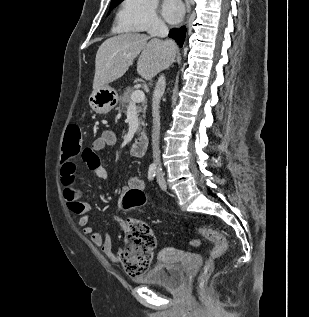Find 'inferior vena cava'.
<instances>
[{"label": "inferior vena cava", "mask_w": 309, "mask_h": 317, "mask_svg": "<svg viewBox=\"0 0 309 317\" xmlns=\"http://www.w3.org/2000/svg\"><path fill=\"white\" fill-rule=\"evenodd\" d=\"M168 27L162 21L154 22L152 28L150 29V35L153 37H166L168 35ZM165 77L161 75L156 83L153 99H152V150L154 163L158 170H161L160 162V151H159V135H160V114H159V104L161 97L165 91Z\"/></svg>", "instance_id": "inferior-vena-cava-1"}]
</instances>
